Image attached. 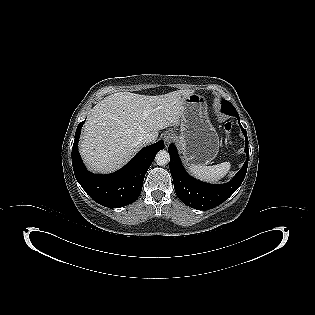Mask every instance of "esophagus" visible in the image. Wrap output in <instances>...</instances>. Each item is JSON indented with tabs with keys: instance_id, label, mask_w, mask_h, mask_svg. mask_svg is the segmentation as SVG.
I'll list each match as a JSON object with an SVG mask.
<instances>
[{
	"instance_id": "esophagus-1",
	"label": "esophagus",
	"mask_w": 315,
	"mask_h": 315,
	"mask_svg": "<svg viewBox=\"0 0 315 315\" xmlns=\"http://www.w3.org/2000/svg\"><path fill=\"white\" fill-rule=\"evenodd\" d=\"M173 134L171 133H165L163 136V140L165 142V147L167 148L173 141Z\"/></svg>"
}]
</instances>
